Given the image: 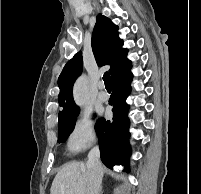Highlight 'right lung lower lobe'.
<instances>
[{"mask_svg":"<svg viewBox=\"0 0 201 194\" xmlns=\"http://www.w3.org/2000/svg\"><path fill=\"white\" fill-rule=\"evenodd\" d=\"M131 66L112 79L113 92L109 104L113 106V120L106 121L100 118L96 123V132L100 145L101 160L108 167L123 164L128 165L130 156L129 120L127 112L129 107L125 103L131 92L132 81Z\"/></svg>","mask_w":201,"mask_h":194,"instance_id":"1","label":"right lung lower lobe"}]
</instances>
